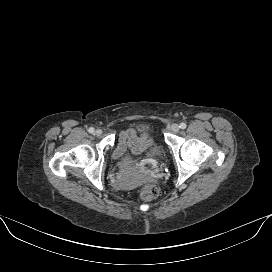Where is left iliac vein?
<instances>
[{"mask_svg": "<svg viewBox=\"0 0 272 272\" xmlns=\"http://www.w3.org/2000/svg\"><path fill=\"white\" fill-rule=\"evenodd\" d=\"M170 129L173 131V132H178L180 130V126L176 123L172 124L170 126Z\"/></svg>", "mask_w": 272, "mask_h": 272, "instance_id": "4c4485c4", "label": "left iliac vein"}]
</instances>
